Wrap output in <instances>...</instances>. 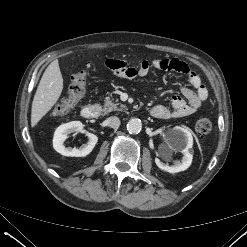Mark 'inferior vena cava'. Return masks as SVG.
I'll return each mask as SVG.
<instances>
[{"instance_id": "obj_1", "label": "inferior vena cava", "mask_w": 247, "mask_h": 247, "mask_svg": "<svg viewBox=\"0 0 247 247\" xmlns=\"http://www.w3.org/2000/svg\"><path fill=\"white\" fill-rule=\"evenodd\" d=\"M108 126L111 128H118L120 126V120L116 116H111L107 119Z\"/></svg>"}]
</instances>
